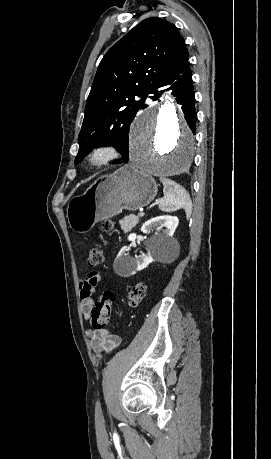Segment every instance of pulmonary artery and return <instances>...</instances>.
<instances>
[{"label": "pulmonary artery", "instance_id": "pulmonary-artery-1", "mask_svg": "<svg viewBox=\"0 0 271 459\" xmlns=\"http://www.w3.org/2000/svg\"><path fill=\"white\" fill-rule=\"evenodd\" d=\"M142 103H143L145 106H151V105L154 103V100H153L151 97H145V98L142 100Z\"/></svg>", "mask_w": 271, "mask_h": 459}]
</instances>
